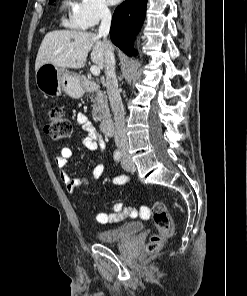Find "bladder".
<instances>
[{
	"mask_svg": "<svg viewBox=\"0 0 247 296\" xmlns=\"http://www.w3.org/2000/svg\"><path fill=\"white\" fill-rule=\"evenodd\" d=\"M142 229L143 223L130 222L117 228L100 230L97 232V238L101 243H118L128 240Z\"/></svg>",
	"mask_w": 247,
	"mask_h": 296,
	"instance_id": "31cf9c89",
	"label": "bladder"
}]
</instances>
